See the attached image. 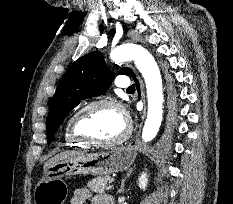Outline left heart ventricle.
<instances>
[{"mask_svg":"<svg viewBox=\"0 0 233 204\" xmlns=\"http://www.w3.org/2000/svg\"><path fill=\"white\" fill-rule=\"evenodd\" d=\"M125 128L121 114L112 107H94L81 115L77 131L95 141H109L120 136Z\"/></svg>","mask_w":233,"mask_h":204,"instance_id":"obj_1","label":"left heart ventricle"}]
</instances>
